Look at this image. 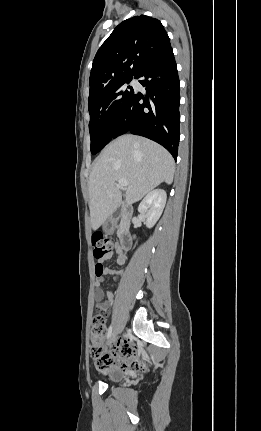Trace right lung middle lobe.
<instances>
[{"instance_id":"obj_1","label":"right lung middle lobe","mask_w":261,"mask_h":431,"mask_svg":"<svg viewBox=\"0 0 261 431\" xmlns=\"http://www.w3.org/2000/svg\"><path fill=\"white\" fill-rule=\"evenodd\" d=\"M133 77L89 94V131L91 153H98L113 138L118 120L134 94L131 86H126Z\"/></svg>"}]
</instances>
